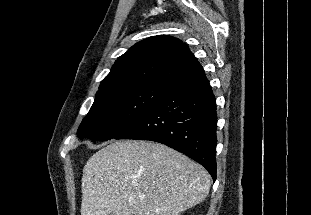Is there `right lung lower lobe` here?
<instances>
[{
  "instance_id": "right-lung-lower-lobe-1",
  "label": "right lung lower lobe",
  "mask_w": 311,
  "mask_h": 215,
  "mask_svg": "<svg viewBox=\"0 0 311 215\" xmlns=\"http://www.w3.org/2000/svg\"><path fill=\"white\" fill-rule=\"evenodd\" d=\"M216 99L202 67L173 81L159 102L114 139L150 140L180 151L216 180Z\"/></svg>"
}]
</instances>
